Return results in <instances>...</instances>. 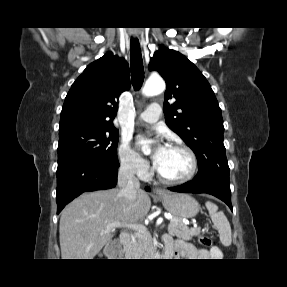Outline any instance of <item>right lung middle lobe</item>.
<instances>
[{"label":"right lung middle lobe","instance_id":"obj_1","mask_svg":"<svg viewBox=\"0 0 287 287\" xmlns=\"http://www.w3.org/2000/svg\"><path fill=\"white\" fill-rule=\"evenodd\" d=\"M118 130L88 123L59 129L58 167L75 161L119 167Z\"/></svg>","mask_w":287,"mask_h":287}]
</instances>
